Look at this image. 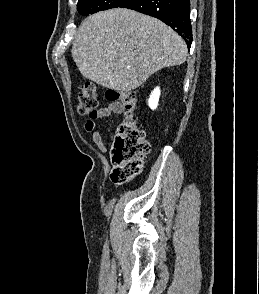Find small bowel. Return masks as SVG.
Segmentation results:
<instances>
[{"mask_svg":"<svg viewBox=\"0 0 259 294\" xmlns=\"http://www.w3.org/2000/svg\"><path fill=\"white\" fill-rule=\"evenodd\" d=\"M124 111V106L118 101H111L106 106L97 109V111L89 116L85 123V130L92 134L93 142L102 151L106 150V144L102 137V134L96 130L98 120H106L113 114H120ZM121 186V183H116L115 188Z\"/></svg>","mask_w":259,"mask_h":294,"instance_id":"1","label":"small bowel"}]
</instances>
